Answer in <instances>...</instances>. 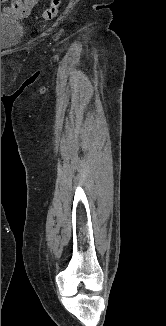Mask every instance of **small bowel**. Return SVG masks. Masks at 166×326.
I'll use <instances>...</instances> for the list:
<instances>
[{
  "label": "small bowel",
  "instance_id": "1",
  "mask_svg": "<svg viewBox=\"0 0 166 326\" xmlns=\"http://www.w3.org/2000/svg\"><path fill=\"white\" fill-rule=\"evenodd\" d=\"M39 0H1V3H9L4 11L14 18L23 19L37 6Z\"/></svg>",
  "mask_w": 166,
  "mask_h": 326
}]
</instances>
